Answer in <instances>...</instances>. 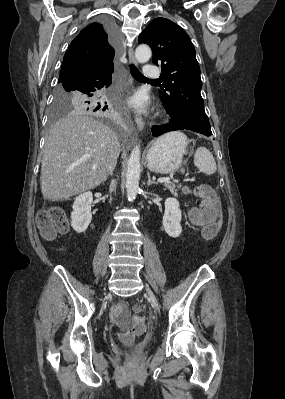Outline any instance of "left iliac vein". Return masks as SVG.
<instances>
[{
	"label": "left iliac vein",
	"instance_id": "4c4485c4",
	"mask_svg": "<svg viewBox=\"0 0 285 399\" xmlns=\"http://www.w3.org/2000/svg\"><path fill=\"white\" fill-rule=\"evenodd\" d=\"M146 291H147V294H148L151 302L155 305V307L156 308H160V304H159L158 299L156 298V296L154 295V293L152 292V290L148 286H146Z\"/></svg>",
	"mask_w": 285,
	"mask_h": 399
}]
</instances>
